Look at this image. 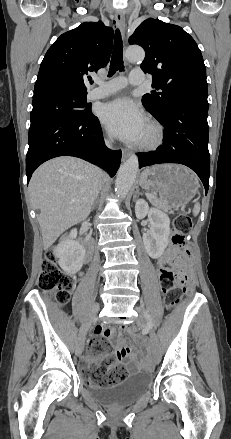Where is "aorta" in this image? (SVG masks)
I'll use <instances>...</instances> for the list:
<instances>
[{
	"instance_id": "762f6f07",
	"label": "aorta",
	"mask_w": 231,
	"mask_h": 439,
	"mask_svg": "<svg viewBox=\"0 0 231 439\" xmlns=\"http://www.w3.org/2000/svg\"><path fill=\"white\" fill-rule=\"evenodd\" d=\"M125 56L130 62H138L144 59L145 52L141 47H129ZM138 168L139 160L136 155H131L121 165L115 182V192L118 196L125 197L128 194L136 179Z\"/></svg>"
}]
</instances>
